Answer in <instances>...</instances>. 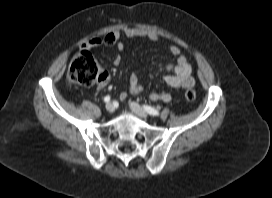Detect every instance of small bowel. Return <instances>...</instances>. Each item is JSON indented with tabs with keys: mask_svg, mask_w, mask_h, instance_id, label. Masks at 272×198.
I'll return each mask as SVG.
<instances>
[{
	"mask_svg": "<svg viewBox=\"0 0 272 198\" xmlns=\"http://www.w3.org/2000/svg\"><path fill=\"white\" fill-rule=\"evenodd\" d=\"M127 38H147L152 41H158L159 37L150 31L141 30L135 27H127L122 31H113L108 33L103 38L95 37L83 44V49L91 50L102 45L116 46L122 52L125 48L124 43L121 41L122 37ZM169 50L176 60L174 63L167 65V75L164 77L165 83L173 88L189 89L194 86V79L192 77V68L189 64L187 57L175 45H170ZM114 65L121 63L120 55H117L113 60ZM109 83V76L104 75L97 83V89L103 90ZM143 90L142 85L139 83L137 76L133 73L129 78V92L133 95H138ZM127 97L126 92L120 94V99L125 100ZM150 100L154 102L171 101L172 97L167 92H152L149 95Z\"/></svg>",
	"mask_w": 272,
	"mask_h": 198,
	"instance_id": "obj_1",
	"label": "small bowel"
}]
</instances>
